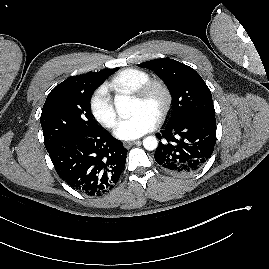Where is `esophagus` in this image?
<instances>
[{
    "label": "esophagus",
    "mask_w": 269,
    "mask_h": 269,
    "mask_svg": "<svg viewBox=\"0 0 269 269\" xmlns=\"http://www.w3.org/2000/svg\"><path fill=\"white\" fill-rule=\"evenodd\" d=\"M141 141L140 140H136V141H126L123 143V146L125 148H129L130 146L134 145V144H140Z\"/></svg>",
    "instance_id": "1"
}]
</instances>
